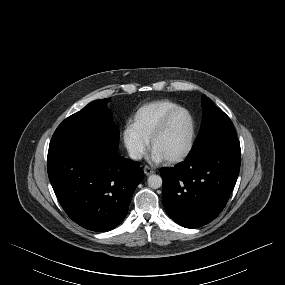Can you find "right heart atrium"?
Returning <instances> with one entry per match:
<instances>
[{"instance_id": "1", "label": "right heart atrium", "mask_w": 285, "mask_h": 285, "mask_svg": "<svg viewBox=\"0 0 285 285\" xmlns=\"http://www.w3.org/2000/svg\"><path fill=\"white\" fill-rule=\"evenodd\" d=\"M124 145L134 160L141 159L148 149V140L144 139L131 125L128 123L122 134Z\"/></svg>"}]
</instances>
